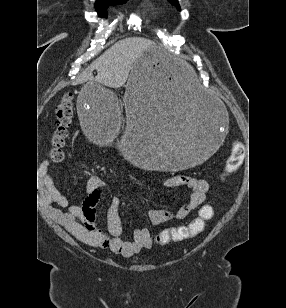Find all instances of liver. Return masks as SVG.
Here are the masks:
<instances>
[{
    "label": "liver",
    "mask_w": 286,
    "mask_h": 308,
    "mask_svg": "<svg viewBox=\"0 0 286 308\" xmlns=\"http://www.w3.org/2000/svg\"><path fill=\"white\" fill-rule=\"evenodd\" d=\"M149 48L157 49L162 53L155 42L146 38L130 37L120 40L88 66L74 84L94 80L107 87L120 88L127 81L134 63ZM94 69L97 70L96 77L93 76Z\"/></svg>",
    "instance_id": "1"
}]
</instances>
